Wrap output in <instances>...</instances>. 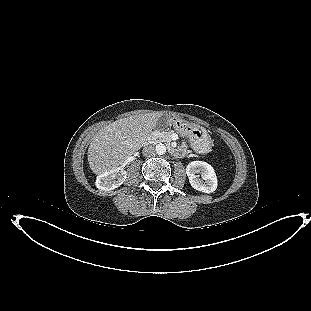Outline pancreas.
Segmentation results:
<instances>
[{"label": "pancreas", "mask_w": 311, "mask_h": 311, "mask_svg": "<svg viewBox=\"0 0 311 311\" xmlns=\"http://www.w3.org/2000/svg\"><path fill=\"white\" fill-rule=\"evenodd\" d=\"M172 131H157L154 133V138L159 139V142H171Z\"/></svg>", "instance_id": "pancreas-1"}]
</instances>
